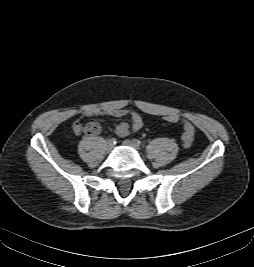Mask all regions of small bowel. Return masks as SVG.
<instances>
[{"mask_svg":"<svg viewBox=\"0 0 254 267\" xmlns=\"http://www.w3.org/2000/svg\"><path fill=\"white\" fill-rule=\"evenodd\" d=\"M100 116H108L114 118L128 117L130 119V122L123 121L116 126L115 133L119 137L128 136L130 133L140 130L143 126L142 117L138 113L131 112L126 109L110 108L106 110H89L82 114V117ZM73 130L76 134H79L83 130V132L88 136H96L100 133L101 127L97 122H90L83 127L80 120H76L73 123Z\"/></svg>","mask_w":254,"mask_h":267,"instance_id":"1","label":"small bowel"}]
</instances>
